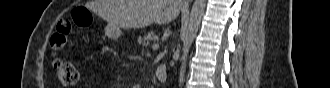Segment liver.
<instances>
[{"mask_svg": "<svg viewBox=\"0 0 330 88\" xmlns=\"http://www.w3.org/2000/svg\"><path fill=\"white\" fill-rule=\"evenodd\" d=\"M98 14L124 29L142 28L152 23L165 24L180 13L181 0H99Z\"/></svg>", "mask_w": 330, "mask_h": 88, "instance_id": "liver-1", "label": "liver"}]
</instances>
